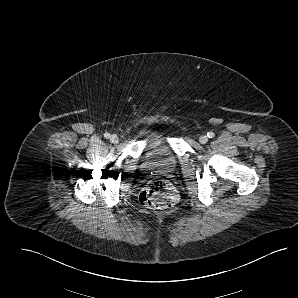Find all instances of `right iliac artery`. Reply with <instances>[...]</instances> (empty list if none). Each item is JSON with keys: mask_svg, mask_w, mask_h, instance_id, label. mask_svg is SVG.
Wrapping results in <instances>:
<instances>
[{"mask_svg": "<svg viewBox=\"0 0 298 298\" xmlns=\"http://www.w3.org/2000/svg\"><path fill=\"white\" fill-rule=\"evenodd\" d=\"M104 137H105L106 139H108V138L110 137V134H109V133H105V134H104Z\"/></svg>", "mask_w": 298, "mask_h": 298, "instance_id": "right-iliac-artery-1", "label": "right iliac artery"}]
</instances>
